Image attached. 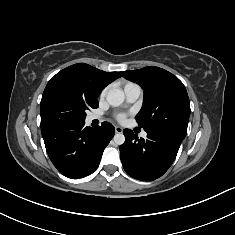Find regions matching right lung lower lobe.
I'll return each mask as SVG.
<instances>
[{"instance_id":"1","label":"right lung lower lobe","mask_w":235,"mask_h":235,"mask_svg":"<svg viewBox=\"0 0 235 235\" xmlns=\"http://www.w3.org/2000/svg\"><path fill=\"white\" fill-rule=\"evenodd\" d=\"M41 132L48 156L57 170L77 179L97 169L115 129L108 122L94 129L80 122L41 127Z\"/></svg>"}]
</instances>
